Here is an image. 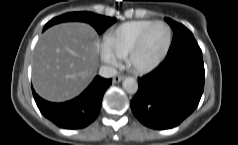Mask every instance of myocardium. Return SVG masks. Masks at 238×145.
Listing matches in <instances>:
<instances>
[{
	"instance_id": "1",
	"label": "myocardium",
	"mask_w": 238,
	"mask_h": 145,
	"mask_svg": "<svg viewBox=\"0 0 238 145\" xmlns=\"http://www.w3.org/2000/svg\"><path fill=\"white\" fill-rule=\"evenodd\" d=\"M156 25H163L167 28L168 30V40L166 42V45L162 52L159 54V56L150 62L149 64L146 65H137L133 62V58L136 55V53L141 49L144 40L149 33V31ZM172 39H173V32L171 27L164 21H153L150 25H148L138 36L136 41L133 43V45L129 48L125 55V62L128 68H130L132 71L137 72V73H148L153 71L155 68H157L165 59L167 56L171 44H172Z\"/></svg>"
}]
</instances>
